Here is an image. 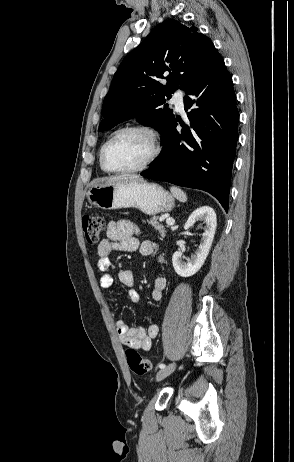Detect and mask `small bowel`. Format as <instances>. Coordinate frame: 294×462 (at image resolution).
Masks as SVG:
<instances>
[{
	"mask_svg": "<svg viewBox=\"0 0 294 462\" xmlns=\"http://www.w3.org/2000/svg\"><path fill=\"white\" fill-rule=\"evenodd\" d=\"M158 249V244L153 241H143L140 243L137 237L136 226L129 220L111 221L108 224L106 239L102 240L97 248L98 262L97 268L103 274L100 277V286L107 290L114 283L112 275L109 273L114 265L110 258L113 251L134 252L139 251L144 256L154 254ZM158 263H163V257L158 256ZM119 281L129 289V297L132 302L139 300V294L133 289L135 278L130 269H122L118 273ZM166 288V279L163 275L158 274L153 281L151 297L154 301H160ZM115 326L121 342L131 348L149 351L152 347V341L158 335V326L149 324L147 327L130 326L124 320L116 318Z\"/></svg>",
	"mask_w": 294,
	"mask_h": 462,
	"instance_id": "1",
	"label": "small bowel"
}]
</instances>
